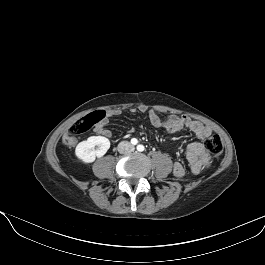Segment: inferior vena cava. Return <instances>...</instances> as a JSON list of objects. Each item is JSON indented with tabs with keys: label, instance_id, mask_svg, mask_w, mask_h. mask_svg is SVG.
<instances>
[{
	"label": "inferior vena cava",
	"instance_id": "1",
	"mask_svg": "<svg viewBox=\"0 0 265 265\" xmlns=\"http://www.w3.org/2000/svg\"><path fill=\"white\" fill-rule=\"evenodd\" d=\"M118 152L121 154H128L133 150V146L128 141H122L118 144Z\"/></svg>",
	"mask_w": 265,
	"mask_h": 265
}]
</instances>
